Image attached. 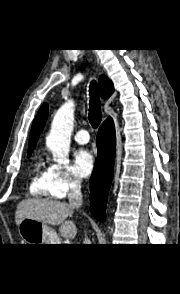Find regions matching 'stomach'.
Returning a JSON list of instances; mask_svg holds the SVG:
<instances>
[{
	"label": "stomach",
	"mask_w": 180,
	"mask_h": 294,
	"mask_svg": "<svg viewBox=\"0 0 180 294\" xmlns=\"http://www.w3.org/2000/svg\"><path fill=\"white\" fill-rule=\"evenodd\" d=\"M18 232L24 244H49L57 237L52 228L30 218H25L20 222Z\"/></svg>",
	"instance_id": "1"
}]
</instances>
